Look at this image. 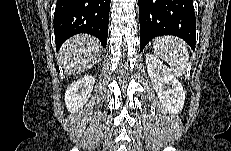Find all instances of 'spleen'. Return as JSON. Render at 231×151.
I'll use <instances>...</instances> for the list:
<instances>
[{"mask_svg": "<svg viewBox=\"0 0 231 151\" xmlns=\"http://www.w3.org/2000/svg\"><path fill=\"white\" fill-rule=\"evenodd\" d=\"M154 52L169 64L176 77H182L188 66L189 54L186 42L178 37L163 36L153 42Z\"/></svg>", "mask_w": 231, "mask_h": 151, "instance_id": "1", "label": "spleen"}]
</instances>
